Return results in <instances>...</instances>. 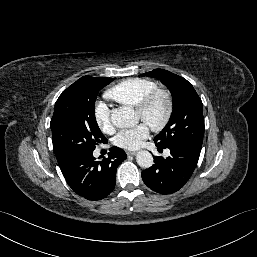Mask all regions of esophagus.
Wrapping results in <instances>:
<instances>
[{"mask_svg":"<svg viewBox=\"0 0 257 257\" xmlns=\"http://www.w3.org/2000/svg\"><path fill=\"white\" fill-rule=\"evenodd\" d=\"M126 154H127L128 156H134V155L137 154V152H135V151H126Z\"/></svg>","mask_w":257,"mask_h":257,"instance_id":"34e87169","label":"esophagus"}]
</instances>
